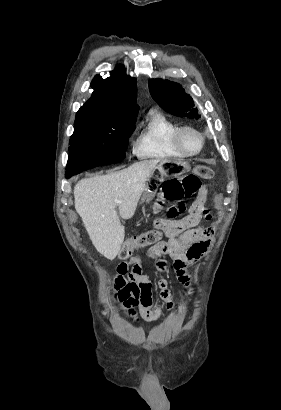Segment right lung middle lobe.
Segmentation results:
<instances>
[{
  "label": "right lung middle lobe",
  "mask_w": 281,
  "mask_h": 410,
  "mask_svg": "<svg viewBox=\"0 0 281 410\" xmlns=\"http://www.w3.org/2000/svg\"><path fill=\"white\" fill-rule=\"evenodd\" d=\"M136 117H106L93 111L79 110L70 137L69 159L65 174L112 164L126 156L128 138Z\"/></svg>",
  "instance_id": "right-lung-middle-lobe-1"
}]
</instances>
